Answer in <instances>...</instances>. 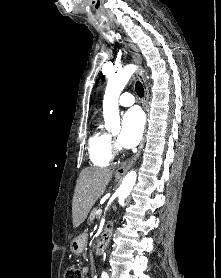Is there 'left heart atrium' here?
<instances>
[{"instance_id": "obj_1", "label": "left heart atrium", "mask_w": 221, "mask_h": 278, "mask_svg": "<svg viewBox=\"0 0 221 278\" xmlns=\"http://www.w3.org/2000/svg\"><path fill=\"white\" fill-rule=\"evenodd\" d=\"M143 129V113L137 108L130 109L123 116L119 143L125 148L135 147L141 140Z\"/></svg>"}]
</instances>
